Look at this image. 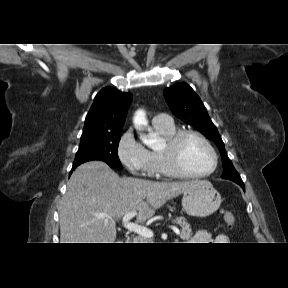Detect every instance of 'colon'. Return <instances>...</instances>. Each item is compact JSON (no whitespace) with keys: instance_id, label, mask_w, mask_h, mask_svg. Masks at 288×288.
Masks as SVG:
<instances>
[{"instance_id":"1","label":"colon","mask_w":288,"mask_h":288,"mask_svg":"<svg viewBox=\"0 0 288 288\" xmlns=\"http://www.w3.org/2000/svg\"><path fill=\"white\" fill-rule=\"evenodd\" d=\"M223 216L224 225L227 229H233L235 225V216L229 210H222L221 211Z\"/></svg>"}]
</instances>
